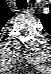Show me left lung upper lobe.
<instances>
[{"mask_svg":"<svg viewBox=\"0 0 51 74\" xmlns=\"http://www.w3.org/2000/svg\"><path fill=\"white\" fill-rule=\"evenodd\" d=\"M37 17L41 20V22L43 23L44 25V19H45V15L44 14H40V15H37Z\"/></svg>","mask_w":51,"mask_h":74,"instance_id":"5c2ea615","label":"left lung upper lobe"}]
</instances>
